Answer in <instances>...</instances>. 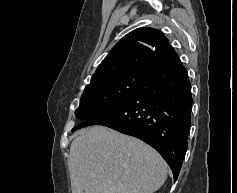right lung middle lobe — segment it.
Here are the masks:
<instances>
[{
	"label": "right lung middle lobe",
	"instance_id": "right-lung-middle-lobe-1",
	"mask_svg": "<svg viewBox=\"0 0 237 193\" xmlns=\"http://www.w3.org/2000/svg\"><path fill=\"white\" fill-rule=\"evenodd\" d=\"M144 76L145 73H129L88 84L75 111L76 116L86 121L115 109L138 90Z\"/></svg>",
	"mask_w": 237,
	"mask_h": 193
}]
</instances>
